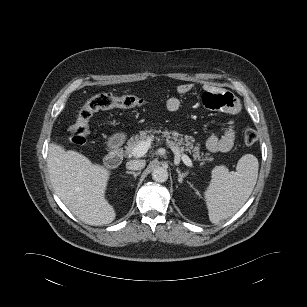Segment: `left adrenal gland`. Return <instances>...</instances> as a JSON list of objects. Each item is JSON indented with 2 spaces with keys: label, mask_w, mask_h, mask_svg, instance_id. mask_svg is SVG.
<instances>
[{
  "label": "left adrenal gland",
  "mask_w": 307,
  "mask_h": 307,
  "mask_svg": "<svg viewBox=\"0 0 307 307\" xmlns=\"http://www.w3.org/2000/svg\"><path fill=\"white\" fill-rule=\"evenodd\" d=\"M176 171H177V173H178V182H179L180 184H182L183 179H184L185 177H187V175H188V171H186L185 173H181V171H180L178 168L176 169Z\"/></svg>",
  "instance_id": "left-adrenal-gland-1"
}]
</instances>
